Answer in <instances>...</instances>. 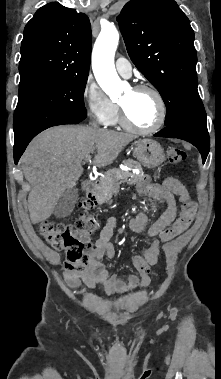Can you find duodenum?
I'll return each instance as SVG.
<instances>
[{"mask_svg": "<svg viewBox=\"0 0 221 379\" xmlns=\"http://www.w3.org/2000/svg\"><path fill=\"white\" fill-rule=\"evenodd\" d=\"M84 193L87 199L95 201V183L87 180L84 183Z\"/></svg>", "mask_w": 221, "mask_h": 379, "instance_id": "duodenum-1", "label": "duodenum"}]
</instances>
